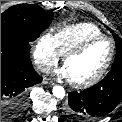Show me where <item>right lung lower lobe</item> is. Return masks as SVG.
Returning a JSON list of instances; mask_svg holds the SVG:
<instances>
[{
    "instance_id": "1",
    "label": "right lung lower lobe",
    "mask_w": 122,
    "mask_h": 122,
    "mask_svg": "<svg viewBox=\"0 0 122 122\" xmlns=\"http://www.w3.org/2000/svg\"><path fill=\"white\" fill-rule=\"evenodd\" d=\"M29 49L20 36L1 33V122H14L26 108L29 88L42 81Z\"/></svg>"
}]
</instances>
